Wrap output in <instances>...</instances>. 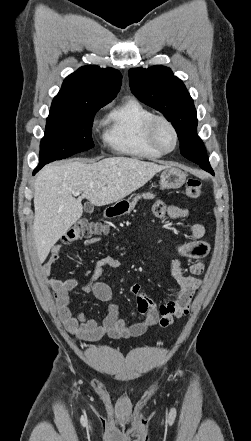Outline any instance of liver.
<instances>
[{"instance_id": "6515ba94", "label": "liver", "mask_w": 251, "mask_h": 441, "mask_svg": "<svg viewBox=\"0 0 251 441\" xmlns=\"http://www.w3.org/2000/svg\"><path fill=\"white\" fill-rule=\"evenodd\" d=\"M168 167L171 165L128 157H110L91 164L70 161L44 167L34 184L33 236L39 262L45 261L54 244L81 218L83 198L95 206L112 204ZM76 191L82 193L77 199L73 196Z\"/></svg>"}]
</instances>
